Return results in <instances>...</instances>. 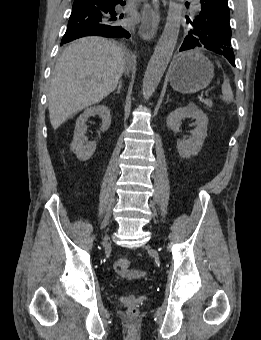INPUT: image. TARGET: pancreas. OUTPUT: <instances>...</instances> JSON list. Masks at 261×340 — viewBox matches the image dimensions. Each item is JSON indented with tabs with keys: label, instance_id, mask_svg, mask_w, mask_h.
<instances>
[{
	"label": "pancreas",
	"instance_id": "pancreas-1",
	"mask_svg": "<svg viewBox=\"0 0 261 340\" xmlns=\"http://www.w3.org/2000/svg\"><path fill=\"white\" fill-rule=\"evenodd\" d=\"M204 104L206 105L207 108H212L213 103L211 100L207 99L204 101Z\"/></svg>",
	"mask_w": 261,
	"mask_h": 340
}]
</instances>
